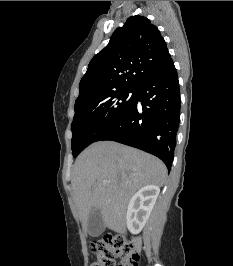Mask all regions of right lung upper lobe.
<instances>
[{
    "label": "right lung upper lobe",
    "mask_w": 233,
    "mask_h": 266,
    "mask_svg": "<svg viewBox=\"0 0 233 266\" xmlns=\"http://www.w3.org/2000/svg\"><path fill=\"white\" fill-rule=\"evenodd\" d=\"M171 61L158 28L146 17L131 16L90 61L76 102L104 91L137 89Z\"/></svg>",
    "instance_id": "obj_1"
}]
</instances>
